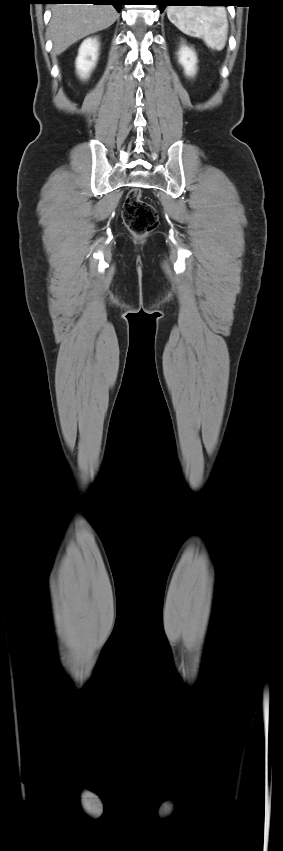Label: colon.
<instances>
[{
  "instance_id": "1",
  "label": "colon",
  "mask_w": 283,
  "mask_h": 851,
  "mask_svg": "<svg viewBox=\"0 0 283 851\" xmlns=\"http://www.w3.org/2000/svg\"><path fill=\"white\" fill-rule=\"evenodd\" d=\"M122 218L128 230L137 237L153 231L159 223L155 207L141 198L139 189L128 192L122 209Z\"/></svg>"
}]
</instances>
